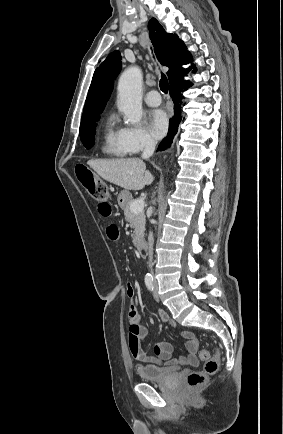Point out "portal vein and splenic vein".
<instances>
[{"label":"portal vein and splenic vein","mask_w":283,"mask_h":434,"mask_svg":"<svg viewBox=\"0 0 283 434\" xmlns=\"http://www.w3.org/2000/svg\"><path fill=\"white\" fill-rule=\"evenodd\" d=\"M144 204L145 203L143 199L136 200L131 204L130 209L134 213L142 212L144 209Z\"/></svg>","instance_id":"portal-vein-and-splenic-vein-1"}]
</instances>
